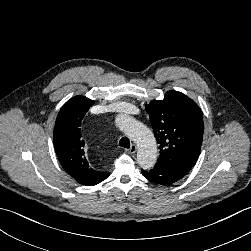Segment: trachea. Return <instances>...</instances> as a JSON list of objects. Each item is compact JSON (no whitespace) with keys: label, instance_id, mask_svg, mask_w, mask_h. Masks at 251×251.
<instances>
[{"label":"trachea","instance_id":"trachea-1","mask_svg":"<svg viewBox=\"0 0 251 251\" xmlns=\"http://www.w3.org/2000/svg\"><path fill=\"white\" fill-rule=\"evenodd\" d=\"M119 146L124 148H130V141L127 137H122L119 141Z\"/></svg>","mask_w":251,"mask_h":251}]
</instances>
